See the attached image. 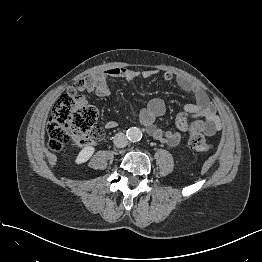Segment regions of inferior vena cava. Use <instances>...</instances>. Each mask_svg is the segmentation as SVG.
Here are the masks:
<instances>
[{
    "instance_id": "inferior-vena-cava-1",
    "label": "inferior vena cava",
    "mask_w": 262,
    "mask_h": 262,
    "mask_svg": "<svg viewBox=\"0 0 262 262\" xmlns=\"http://www.w3.org/2000/svg\"><path fill=\"white\" fill-rule=\"evenodd\" d=\"M114 145L118 148H123L127 145L128 139L124 133H117L113 139Z\"/></svg>"
}]
</instances>
